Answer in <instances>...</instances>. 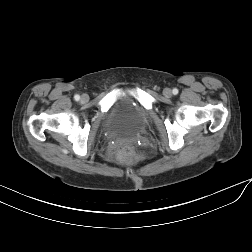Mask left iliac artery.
<instances>
[{"instance_id": "1", "label": "left iliac artery", "mask_w": 252, "mask_h": 252, "mask_svg": "<svg viewBox=\"0 0 252 252\" xmlns=\"http://www.w3.org/2000/svg\"><path fill=\"white\" fill-rule=\"evenodd\" d=\"M172 93H173L174 95L178 94V89L174 88L173 91H172Z\"/></svg>"}]
</instances>
